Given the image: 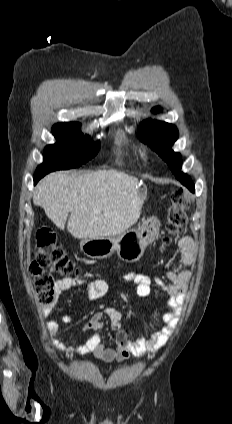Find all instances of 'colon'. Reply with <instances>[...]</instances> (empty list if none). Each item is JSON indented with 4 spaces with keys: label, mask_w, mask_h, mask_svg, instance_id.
<instances>
[{
    "label": "colon",
    "mask_w": 232,
    "mask_h": 424,
    "mask_svg": "<svg viewBox=\"0 0 232 424\" xmlns=\"http://www.w3.org/2000/svg\"><path fill=\"white\" fill-rule=\"evenodd\" d=\"M192 200L191 193L183 188H177L172 192L171 203L166 214L163 243L169 244L184 232L186 213ZM53 272L62 275H78L81 271L67 256L55 235L51 231L40 230L37 234L35 257L30 266V273L34 276L39 302L45 307L52 306L55 299Z\"/></svg>",
    "instance_id": "5ec220e1"
}]
</instances>
